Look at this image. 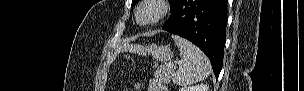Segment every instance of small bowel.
<instances>
[{
  "label": "small bowel",
  "instance_id": "obj_1",
  "mask_svg": "<svg viewBox=\"0 0 304 91\" xmlns=\"http://www.w3.org/2000/svg\"><path fill=\"white\" fill-rule=\"evenodd\" d=\"M150 90L152 91H165L166 88L157 80L150 83Z\"/></svg>",
  "mask_w": 304,
  "mask_h": 91
}]
</instances>
